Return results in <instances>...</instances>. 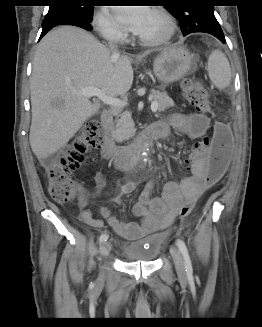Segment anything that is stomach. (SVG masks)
<instances>
[{
  "label": "stomach",
  "mask_w": 262,
  "mask_h": 327,
  "mask_svg": "<svg viewBox=\"0 0 262 327\" xmlns=\"http://www.w3.org/2000/svg\"><path fill=\"white\" fill-rule=\"evenodd\" d=\"M194 66L193 56L184 47H173L162 51L155 59L153 71L163 87L188 74Z\"/></svg>",
  "instance_id": "1"
}]
</instances>
